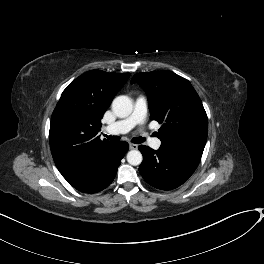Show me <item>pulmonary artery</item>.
Masks as SVG:
<instances>
[{
  "mask_svg": "<svg viewBox=\"0 0 264 264\" xmlns=\"http://www.w3.org/2000/svg\"><path fill=\"white\" fill-rule=\"evenodd\" d=\"M147 116V101L144 96H139L136 98L133 106L132 113L115 123H112L108 125L105 128V131L109 134H124L129 132L131 129H133L135 126L142 124ZM144 138H149L151 141V145L154 148H158L161 144L160 139L151 137V135L148 132L143 133Z\"/></svg>",
  "mask_w": 264,
  "mask_h": 264,
  "instance_id": "obj_1",
  "label": "pulmonary artery"
}]
</instances>
